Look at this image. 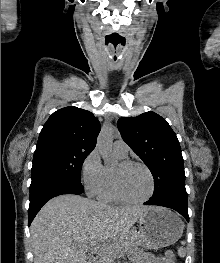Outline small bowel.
I'll use <instances>...</instances> for the list:
<instances>
[{
    "label": "small bowel",
    "mask_w": 220,
    "mask_h": 263,
    "mask_svg": "<svg viewBox=\"0 0 220 263\" xmlns=\"http://www.w3.org/2000/svg\"><path fill=\"white\" fill-rule=\"evenodd\" d=\"M142 263H169L166 258H159L154 255H146Z\"/></svg>",
    "instance_id": "1"
}]
</instances>
